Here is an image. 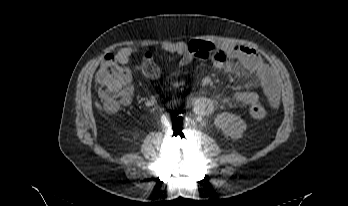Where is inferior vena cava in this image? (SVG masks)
Listing matches in <instances>:
<instances>
[{
  "mask_svg": "<svg viewBox=\"0 0 348 206\" xmlns=\"http://www.w3.org/2000/svg\"><path fill=\"white\" fill-rule=\"evenodd\" d=\"M161 122L163 124H169L171 122L170 114L169 113L163 114L162 117H161Z\"/></svg>",
  "mask_w": 348,
  "mask_h": 206,
  "instance_id": "inferior-vena-cava-1",
  "label": "inferior vena cava"
}]
</instances>
